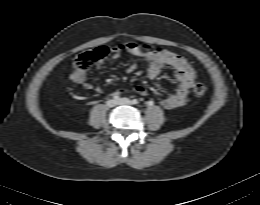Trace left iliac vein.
Returning <instances> with one entry per match:
<instances>
[{
  "label": "left iliac vein",
  "mask_w": 260,
  "mask_h": 205,
  "mask_svg": "<svg viewBox=\"0 0 260 205\" xmlns=\"http://www.w3.org/2000/svg\"><path fill=\"white\" fill-rule=\"evenodd\" d=\"M118 104H120V105H132V101L128 98H120L118 100Z\"/></svg>",
  "instance_id": "obj_1"
}]
</instances>
